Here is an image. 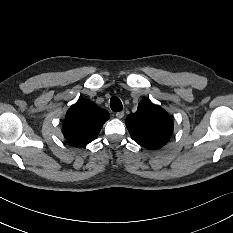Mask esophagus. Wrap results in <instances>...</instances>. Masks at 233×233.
<instances>
[{"label": "esophagus", "mask_w": 233, "mask_h": 233, "mask_svg": "<svg viewBox=\"0 0 233 233\" xmlns=\"http://www.w3.org/2000/svg\"><path fill=\"white\" fill-rule=\"evenodd\" d=\"M116 117L119 118V119L123 118L124 117V111L117 112Z\"/></svg>", "instance_id": "esophagus-1"}]
</instances>
